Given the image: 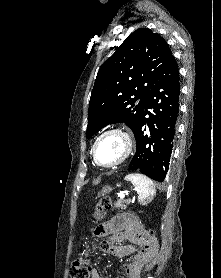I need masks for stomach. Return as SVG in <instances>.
I'll return each instance as SVG.
<instances>
[{"label": "stomach", "instance_id": "1", "mask_svg": "<svg viewBox=\"0 0 221 278\" xmlns=\"http://www.w3.org/2000/svg\"><path fill=\"white\" fill-rule=\"evenodd\" d=\"M112 191V188L110 186H105L103 187L102 191H101V195H105L108 194Z\"/></svg>", "mask_w": 221, "mask_h": 278}]
</instances>
